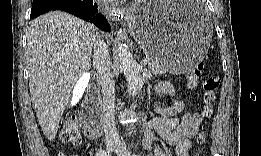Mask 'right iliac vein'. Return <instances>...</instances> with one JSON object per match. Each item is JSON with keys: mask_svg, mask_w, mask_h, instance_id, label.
<instances>
[{"mask_svg": "<svg viewBox=\"0 0 261 156\" xmlns=\"http://www.w3.org/2000/svg\"><path fill=\"white\" fill-rule=\"evenodd\" d=\"M106 147H107V150H108L109 152H112V151L116 150L117 144H115V143H113V142H107V143H106Z\"/></svg>", "mask_w": 261, "mask_h": 156, "instance_id": "63e3f726", "label": "right iliac vein"}]
</instances>
